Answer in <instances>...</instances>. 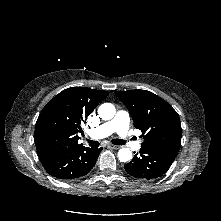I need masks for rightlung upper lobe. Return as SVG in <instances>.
<instances>
[{
  "label": "right lung upper lobe",
  "instance_id": "1",
  "mask_svg": "<svg viewBox=\"0 0 221 221\" xmlns=\"http://www.w3.org/2000/svg\"><path fill=\"white\" fill-rule=\"evenodd\" d=\"M107 91L71 87L50 100L35 126L37 153L60 147L77 146L81 123L108 95Z\"/></svg>",
  "mask_w": 221,
  "mask_h": 221
}]
</instances>
